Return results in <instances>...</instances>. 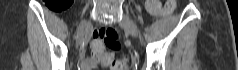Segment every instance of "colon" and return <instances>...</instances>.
Wrapping results in <instances>:
<instances>
[{
    "instance_id": "5ec220e1",
    "label": "colon",
    "mask_w": 238,
    "mask_h": 70,
    "mask_svg": "<svg viewBox=\"0 0 238 70\" xmlns=\"http://www.w3.org/2000/svg\"><path fill=\"white\" fill-rule=\"evenodd\" d=\"M50 8L56 12H62L67 9L70 5V0H49ZM175 1L170 0L166 3L164 7L158 0H148L146 5L150 12L156 14H168L170 13L174 6ZM118 32L113 28H100L93 33V48L97 54H99L104 60V66H109L111 70H126L127 61L126 59L113 60L112 56L105 53V47L111 49L120 48V44L117 41ZM107 54L111 57H107Z\"/></svg>"
}]
</instances>
